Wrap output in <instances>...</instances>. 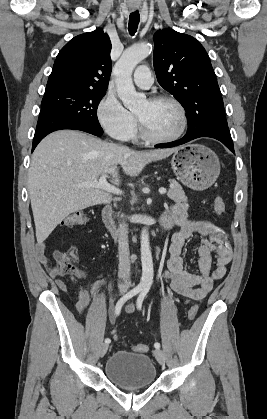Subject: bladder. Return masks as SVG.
Here are the masks:
<instances>
[{"instance_id":"1","label":"bladder","mask_w":267,"mask_h":419,"mask_svg":"<svg viewBox=\"0 0 267 419\" xmlns=\"http://www.w3.org/2000/svg\"><path fill=\"white\" fill-rule=\"evenodd\" d=\"M104 373L108 380L122 388H142L157 378L153 360L146 354L115 351L107 359Z\"/></svg>"}]
</instances>
